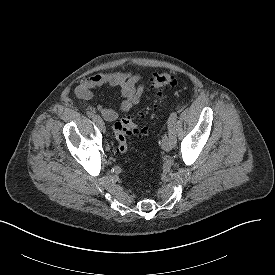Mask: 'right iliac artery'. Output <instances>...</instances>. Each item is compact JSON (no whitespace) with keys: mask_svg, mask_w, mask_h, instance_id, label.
<instances>
[{"mask_svg":"<svg viewBox=\"0 0 275 275\" xmlns=\"http://www.w3.org/2000/svg\"><path fill=\"white\" fill-rule=\"evenodd\" d=\"M92 119H93V121H94L95 123H97L98 121L101 120V118H100L99 115H94Z\"/></svg>","mask_w":275,"mask_h":275,"instance_id":"1","label":"right iliac artery"}]
</instances>
